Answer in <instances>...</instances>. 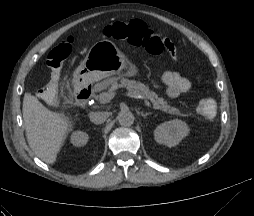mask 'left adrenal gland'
Here are the masks:
<instances>
[{
	"mask_svg": "<svg viewBox=\"0 0 254 216\" xmlns=\"http://www.w3.org/2000/svg\"><path fill=\"white\" fill-rule=\"evenodd\" d=\"M143 117H144V118L147 117V114H143Z\"/></svg>",
	"mask_w": 254,
	"mask_h": 216,
	"instance_id": "obj_1",
	"label": "left adrenal gland"
}]
</instances>
